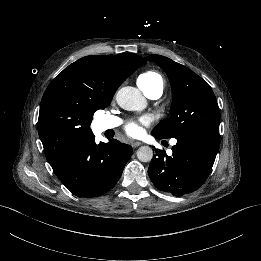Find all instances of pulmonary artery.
Wrapping results in <instances>:
<instances>
[{
    "label": "pulmonary artery",
    "mask_w": 261,
    "mask_h": 261,
    "mask_svg": "<svg viewBox=\"0 0 261 261\" xmlns=\"http://www.w3.org/2000/svg\"><path fill=\"white\" fill-rule=\"evenodd\" d=\"M149 99L151 100H157L158 98H160V96L162 95V90L160 89H154V90H151L149 92H147L145 94ZM122 124V119L119 118V117H116V116H110V117H107L104 121V125L106 128L108 129H113V128H117L119 127L120 125ZM177 143V139H172L170 141V144L172 146L176 145Z\"/></svg>",
    "instance_id": "pulmonary-artery-1"
}]
</instances>
